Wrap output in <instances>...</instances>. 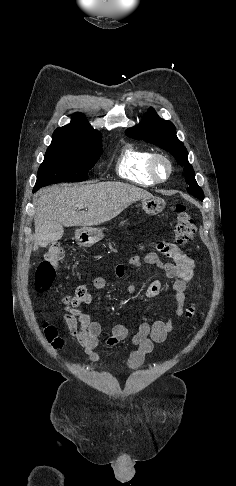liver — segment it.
<instances>
[{
    "label": "liver",
    "instance_id": "liver-1",
    "mask_svg": "<svg viewBox=\"0 0 236 486\" xmlns=\"http://www.w3.org/2000/svg\"><path fill=\"white\" fill-rule=\"evenodd\" d=\"M38 196L34 251L47 240L44 230L51 222L66 227L99 225L115 218L132 203L153 197L144 189L120 182L51 186L40 190ZM78 206L86 211H77Z\"/></svg>",
    "mask_w": 236,
    "mask_h": 486
}]
</instances>
